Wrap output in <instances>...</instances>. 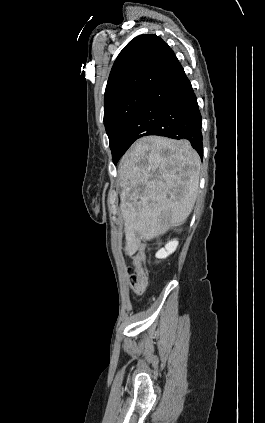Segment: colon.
<instances>
[{"label":"colon","mask_w":265,"mask_h":423,"mask_svg":"<svg viewBox=\"0 0 265 423\" xmlns=\"http://www.w3.org/2000/svg\"><path fill=\"white\" fill-rule=\"evenodd\" d=\"M131 288L134 293L141 295L145 292L148 285V277L140 261L128 267Z\"/></svg>","instance_id":"obj_1"}]
</instances>
